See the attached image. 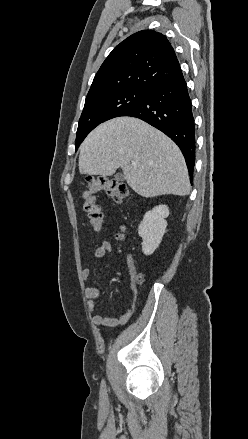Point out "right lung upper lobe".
Segmentation results:
<instances>
[{"label": "right lung upper lobe", "mask_w": 248, "mask_h": 439, "mask_svg": "<svg viewBox=\"0 0 248 439\" xmlns=\"http://www.w3.org/2000/svg\"><path fill=\"white\" fill-rule=\"evenodd\" d=\"M182 73L165 35L139 31L117 45L96 73L86 101L123 89L150 92Z\"/></svg>", "instance_id": "cb5924a9"}]
</instances>
